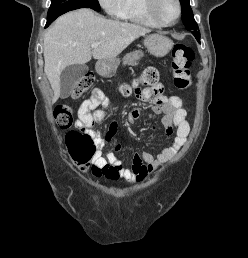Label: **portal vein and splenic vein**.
I'll use <instances>...</instances> for the list:
<instances>
[{"mask_svg": "<svg viewBox=\"0 0 248 258\" xmlns=\"http://www.w3.org/2000/svg\"><path fill=\"white\" fill-rule=\"evenodd\" d=\"M99 46V43H93V44H91V47L92 48H97Z\"/></svg>", "mask_w": 248, "mask_h": 258, "instance_id": "obj_1", "label": "portal vein and splenic vein"}]
</instances>
